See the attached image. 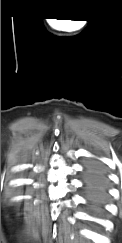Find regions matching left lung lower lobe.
<instances>
[{"instance_id": "obj_1", "label": "left lung lower lobe", "mask_w": 122, "mask_h": 243, "mask_svg": "<svg viewBox=\"0 0 122 243\" xmlns=\"http://www.w3.org/2000/svg\"><path fill=\"white\" fill-rule=\"evenodd\" d=\"M83 183L90 210L99 213L107 200L108 183L105 171L96 163H88L84 169Z\"/></svg>"}]
</instances>
